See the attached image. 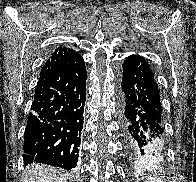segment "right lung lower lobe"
<instances>
[{
	"mask_svg": "<svg viewBox=\"0 0 196 182\" xmlns=\"http://www.w3.org/2000/svg\"><path fill=\"white\" fill-rule=\"evenodd\" d=\"M87 72L79 55L38 82L24 133V163L75 168L86 100Z\"/></svg>",
	"mask_w": 196,
	"mask_h": 182,
	"instance_id": "98d812e1",
	"label": "right lung lower lobe"
}]
</instances>
